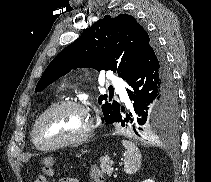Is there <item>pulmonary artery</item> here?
Listing matches in <instances>:
<instances>
[{
  "label": "pulmonary artery",
  "instance_id": "pulmonary-artery-1",
  "mask_svg": "<svg viewBox=\"0 0 211 182\" xmlns=\"http://www.w3.org/2000/svg\"><path fill=\"white\" fill-rule=\"evenodd\" d=\"M112 83L116 86L117 91L119 92L121 99L128 102V95L126 89L122 83H120L119 78L117 76H111Z\"/></svg>",
  "mask_w": 211,
  "mask_h": 182
}]
</instances>
